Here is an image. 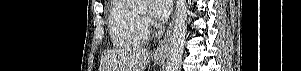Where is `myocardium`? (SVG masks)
Instances as JSON below:
<instances>
[{
    "label": "myocardium",
    "mask_w": 301,
    "mask_h": 71,
    "mask_svg": "<svg viewBox=\"0 0 301 71\" xmlns=\"http://www.w3.org/2000/svg\"><path fill=\"white\" fill-rule=\"evenodd\" d=\"M136 12L142 17L146 15V11H142L139 8L136 9Z\"/></svg>",
    "instance_id": "f54148a6"
}]
</instances>
